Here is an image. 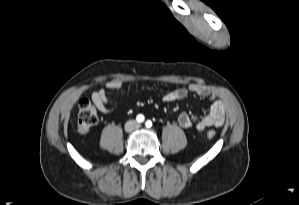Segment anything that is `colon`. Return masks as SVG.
Wrapping results in <instances>:
<instances>
[{
    "label": "colon",
    "mask_w": 299,
    "mask_h": 205,
    "mask_svg": "<svg viewBox=\"0 0 299 205\" xmlns=\"http://www.w3.org/2000/svg\"><path fill=\"white\" fill-rule=\"evenodd\" d=\"M98 121V109L88 99L80 100L78 104L77 130L80 133L85 134L89 132ZM207 136L208 138L213 139L216 136L215 130H209Z\"/></svg>",
    "instance_id": "colon-1"
}]
</instances>
